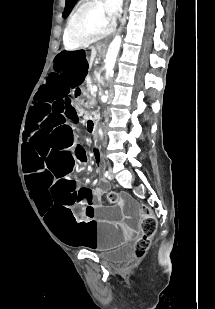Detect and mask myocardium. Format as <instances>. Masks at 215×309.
Masks as SVG:
<instances>
[{"instance_id": "f54148a6", "label": "myocardium", "mask_w": 215, "mask_h": 309, "mask_svg": "<svg viewBox=\"0 0 215 309\" xmlns=\"http://www.w3.org/2000/svg\"><path fill=\"white\" fill-rule=\"evenodd\" d=\"M92 7L94 6L84 5L79 7L73 12V19H69L67 21L66 27L64 29L65 39L67 40L68 43H72L74 48H88L92 46L94 43H99L100 40L99 38H107V34H114L116 28L115 20L109 19L105 27H93L92 31H90L89 33L90 39L87 38L84 39L80 34L78 35L77 30H81L83 28V25L81 24L80 21L82 20V15L79 14Z\"/></svg>"}]
</instances>
